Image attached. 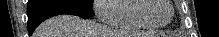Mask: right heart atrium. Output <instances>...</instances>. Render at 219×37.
Here are the masks:
<instances>
[{
  "label": "right heart atrium",
  "instance_id": "right-heart-atrium-1",
  "mask_svg": "<svg viewBox=\"0 0 219 37\" xmlns=\"http://www.w3.org/2000/svg\"><path fill=\"white\" fill-rule=\"evenodd\" d=\"M119 3V0H95L93 7L102 21L114 24L119 18Z\"/></svg>",
  "mask_w": 219,
  "mask_h": 37
}]
</instances>
